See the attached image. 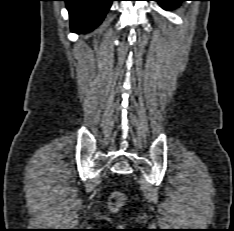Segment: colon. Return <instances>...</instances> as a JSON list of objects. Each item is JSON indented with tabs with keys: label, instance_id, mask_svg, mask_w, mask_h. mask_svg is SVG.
<instances>
[{
	"label": "colon",
	"instance_id": "1",
	"mask_svg": "<svg viewBox=\"0 0 234 231\" xmlns=\"http://www.w3.org/2000/svg\"><path fill=\"white\" fill-rule=\"evenodd\" d=\"M124 198L121 194L116 193L112 196L111 200H110V208L112 210H117L119 207H121V205L123 204Z\"/></svg>",
	"mask_w": 234,
	"mask_h": 231
}]
</instances>
